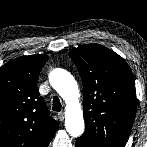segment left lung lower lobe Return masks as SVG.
Listing matches in <instances>:
<instances>
[{
  "label": "left lung lower lobe",
  "mask_w": 147,
  "mask_h": 147,
  "mask_svg": "<svg viewBox=\"0 0 147 147\" xmlns=\"http://www.w3.org/2000/svg\"><path fill=\"white\" fill-rule=\"evenodd\" d=\"M76 147H85L83 144L76 142Z\"/></svg>",
  "instance_id": "obj_1"
}]
</instances>
